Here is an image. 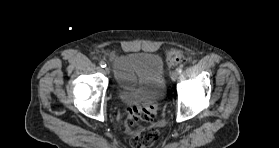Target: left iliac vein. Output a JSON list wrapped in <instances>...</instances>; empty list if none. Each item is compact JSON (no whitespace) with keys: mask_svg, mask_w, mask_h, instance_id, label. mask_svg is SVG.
Returning <instances> with one entry per match:
<instances>
[{"mask_svg":"<svg viewBox=\"0 0 279 148\" xmlns=\"http://www.w3.org/2000/svg\"><path fill=\"white\" fill-rule=\"evenodd\" d=\"M178 76H179L178 71H177V70H176V71H173L172 74H171V79H172L173 81H176L177 78H178Z\"/></svg>","mask_w":279,"mask_h":148,"instance_id":"obj_1","label":"left iliac vein"}]
</instances>
